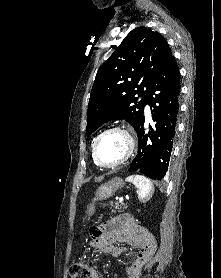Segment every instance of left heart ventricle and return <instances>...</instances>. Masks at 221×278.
<instances>
[{"label":"left heart ventricle","mask_w":221,"mask_h":278,"mask_svg":"<svg viewBox=\"0 0 221 278\" xmlns=\"http://www.w3.org/2000/svg\"><path fill=\"white\" fill-rule=\"evenodd\" d=\"M126 138L118 132H110L104 135L97 145L99 161L105 165L115 164L126 154Z\"/></svg>","instance_id":"b2bd125f"}]
</instances>
